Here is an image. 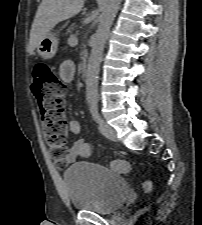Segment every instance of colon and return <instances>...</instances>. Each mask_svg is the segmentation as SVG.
<instances>
[{
	"mask_svg": "<svg viewBox=\"0 0 202 225\" xmlns=\"http://www.w3.org/2000/svg\"><path fill=\"white\" fill-rule=\"evenodd\" d=\"M33 79L41 130L53 158L60 161L68 153L69 137L64 109L67 85L56 76L53 67L45 62L35 64ZM110 167L116 173H128L132 164L127 160H114ZM143 189L151 193L153 184L145 181Z\"/></svg>",
	"mask_w": 202,
	"mask_h": 225,
	"instance_id": "5ec220e1",
	"label": "colon"
}]
</instances>
